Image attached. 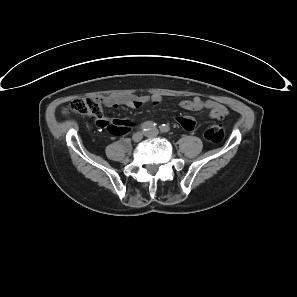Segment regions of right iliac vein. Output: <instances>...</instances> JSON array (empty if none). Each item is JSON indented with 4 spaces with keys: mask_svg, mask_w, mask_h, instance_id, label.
<instances>
[{
    "mask_svg": "<svg viewBox=\"0 0 297 297\" xmlns=\"http://www.w3.org/2000/svg\"><path fill=\"white\" fill-rule=\"evenodd\" d=\"M144 133L143 132H137L132 136V140L134 142H139L142 140Z\"/></svg>",
    "mask_w": 297,
    "mask_h": 297,
    "instance_id": "right-iliac-vein-1",
    "label": "right iliac vein"
}]
</instances>
